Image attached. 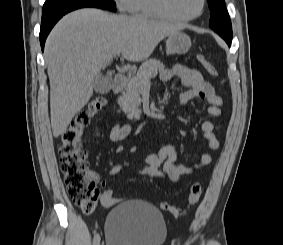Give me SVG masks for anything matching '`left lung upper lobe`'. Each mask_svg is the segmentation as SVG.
<instances>
[{"label": "left lung upper lobe", "mask_w": 283, "mask_h": 245, "mask_svg": "<svg viewBox=\"0 0 283 245\" xmlns=\"http://www.w3.org/2000/svg\"><path fill=\"white\" fill-rule=\"evenodd\" d=\"M211 17L209 25L223 39H232V27L224 0H207Z\"/></svg>", "instance_id": "left-lung-upper-lobe-1"}]
</instances>
